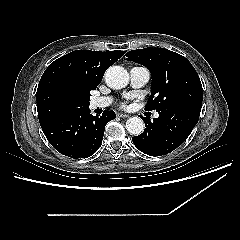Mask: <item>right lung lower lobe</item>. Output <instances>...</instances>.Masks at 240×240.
<instances>
[{
  "label": "right lung lower lobe",
  "instance_id": "98d812e1",
  "mask_svg": "<svg viewBox=\"0 0 240 240\" xmlns=\"http://www.w3.org/2000/svg\"><path fill=\"white\" fill-rule=\"evenodd\" d=\"M116 118L105 110L102 116H93L89 108L65 111L41 124L49 143L61 154L71 158L93 155L100 147L107 122Z\"/></svg>",
  "mask_w": 240,
  "mask_h": 240
}]
</instances>
